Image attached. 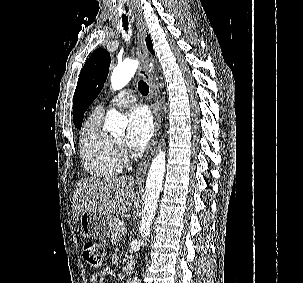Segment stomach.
Segmentation results:
<instances>
[{
	"mask_svg": "<svg viewBox=\"0 0 303 283\" xmlns=\"http://www.w3.org/2000/svg\"><path fill=\"white\" fill-rule=\"evenodd\" d=\"M79 218L84 237L94 240H102L109 237L113 222L111 214L89 211L83 212Z\"/></svg>",
	"mask_w": 303,
	"mask_h": 283,
	"instance_id": "0dacf381",
	"label": "stomach"
}]
</instances>
